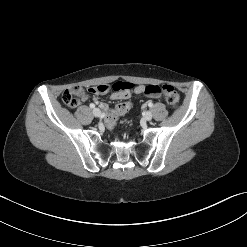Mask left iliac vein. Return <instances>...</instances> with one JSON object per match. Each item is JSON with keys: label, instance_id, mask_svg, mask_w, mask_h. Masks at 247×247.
<instances>
[{"label": "left iliac vein", "instance_id": "1", "mask_svg": "<svg viewBox=\"0 0 247 247\" xmlns=\"http://www.w3.org/2000/svg\"><path fill=\"white\" fill-rule=\"evenodd\" d=\"M152 117H153V115L150 111L145 112L144 116H143L144 120H146V121H150L152 119Z\"/></svg>", "mask_w": 247, "mask_h": 247}]
</instances>
